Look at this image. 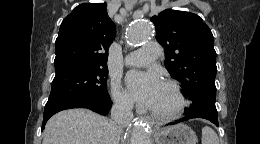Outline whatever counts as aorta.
<instances>
[{"label":"aorta","instance_id":"obj_1","mask_svg":"<svg viewBox=\"0 0 260 144\" xmlns=\"http://www.w3.org/2000/svg\"><path fill=\"white\" fill-rule=\"evenodd\" d=\"M151 25L147 21L134 22L128 31L127 40L131 45L148 41L152 35ZM131 144H151L146 123L141 120L132 126Z\"/></svg>","mask_w":260,"mask_h":144}]
</instances>
